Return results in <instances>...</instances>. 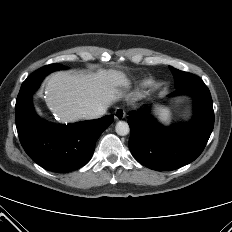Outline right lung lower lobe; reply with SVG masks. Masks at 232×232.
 <instances>
[{
	"instance_id": "obj_1",
	"label": "right lung lower lobe",
	"mask_w": 232,
	"mask_h": 232,
	"mask_svg": "<svg viewBox=\"0 0 232 232\" xmlns=\"http://www.w3.org/2000/svg\"><path fill=\"white\" fill-rule=\"evenodd\" d=\"M42 80L21 86L15 106L19 139L26 153L41 167L70 172L89 162L97 139L114 118L107 115L68 125L42 120L35 113L31 98Z\"/></svg>"
}]
</instances>
